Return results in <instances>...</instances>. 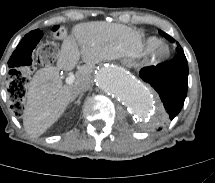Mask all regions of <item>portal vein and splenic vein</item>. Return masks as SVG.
<instances>
[{"label": "portal vein and splenic vein", "mask_w": 215, "mask_h": 183, "mask_svg": "<svg viewBox=\"0 0 215 183\" xmlns=\"http://www.w3.org/2000/svg\"><path fill=\"white\" fill-rule=\"evenodd\" d=\"M75 80V76L74 74H70L67 78H66V83L67 84H72Z\"/></svg>", "instance_id": "obj_1"}]
</instances>
